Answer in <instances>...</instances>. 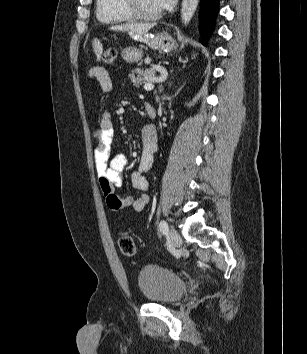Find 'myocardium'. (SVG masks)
<instances>
[{
	"mask_svg": "<svg viewBox=\"0 0 307 354\" xmlns=\"http://www.w3.org/2000/svg\"><path fill=\"white\" fill-rule=\"evenodd\" d=\"M122 4L126 12L134 19L151 21L156 20L161 16V12L147 14L141 11L136 0H122Z\"/></svg>",
	"mask_w": 307,
	"mask_h": 354,
	"instance_id": "f54148a6",
	"label": "myocardium"
}]
</instances>
